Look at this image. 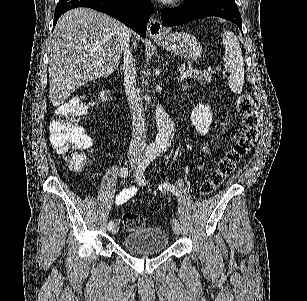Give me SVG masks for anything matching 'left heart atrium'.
Returning a JSON list of instances; mask_svg holds the SVG:
<instances>
[{
	"mask_svg": "<svg viewBox=\"0 0 307 301\" xmlns=\"http://www.w3.org/2000/svg\"><path fill=\"white\" fill-rule=\"evenodd\" d=\"M164 4H175L176 0H163Z\"/></svg>",
	"mask_w": 307,
	"mask_h": 301,
	"instance_id": "1",
	"label": "left heart atrium"
}]
</instances>
